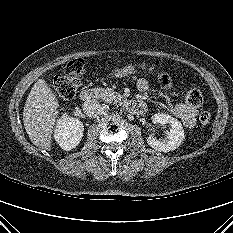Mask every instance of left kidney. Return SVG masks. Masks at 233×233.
I'll return each instance as SVG.
<instances>
[{
  "mask_svg": "<svg viewBox=\"0 0 233 233\" xmlns=\"http://www.w3.org/2000/svg\"><path fill=\"white\" fill-rule=\"evenodd\" d=\"M154 124H169L170 129L166 133V138L157 139L150 134L147 138V144L155 150L169 152L178 148L184 139V130L182 124L175 118L164 113H157L151 117Z\"/></svg>",
  "mask_w": 233,
  "mask_h": 233,
  "instance_id": "5707ae66",
  "label": "left kidney"
}]
</instances>
